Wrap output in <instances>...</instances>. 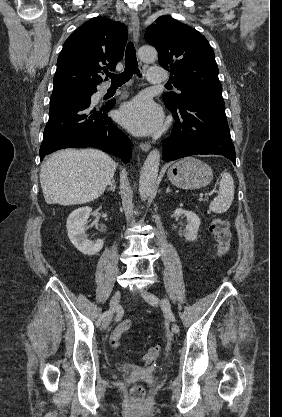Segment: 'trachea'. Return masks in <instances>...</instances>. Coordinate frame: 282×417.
<instances>
[{
    "label": "trachea",
    "mask_w": 282,
    "mask_h": 417,
    "mask_svg": "<svg viewBox=\"0 0 282 417\" xmlns=\"http://www.w3.org/2000/svg\"><path fill=\"white\" fill-rule=\"evenodd\" d=\"M133 74L139 75L141 77V74L139 73L138 63H137V57H136V50L134 47V44L132 42H129L126 47L125 52V69L124 72L116 74H108V76L111 78V86H117L120 87L124 83L128 82ZM166 86H170V84H166Z\"/></svg>",
    "instance_id": "trachea-1"
}]
</instances>
